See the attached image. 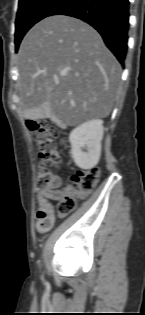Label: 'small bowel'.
Listing matches in <instances>:
<instances>
[{
    "label": "small bowel",
    "instance_id": "small-bowel-1",
    "mask_svg": "<svg viewBox=\"0 0 145 315\" xmlns=\"http://www.w3.org/2000/svg\"><path fill=\"white\" fill-rule=\"evenodd\" d=\"M76 194L72 187L66 186L59 190H45L40 193L41 209L37 212L36 228L40 233L49 231L55 223V217L49 208L47 201L59 200L63 195ZM82 197L81 195H78Z\"/></svg>",
    "mask_w": 145,
    "mask_h": 315
}]
</instances>
